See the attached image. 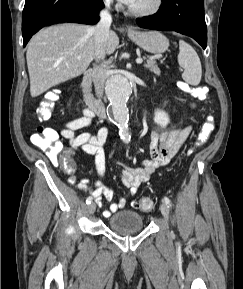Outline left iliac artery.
Returning a JSON list of instances; mask_svg holds the SVG:
<instances>
[{
	"label": "left iliac artery",
	"mask_w": 243,
	"mask_h": 289,
	"mask_svg": "<svg viewBox=\"0 0 243 289\" xmlns=\"http://www.w3.org/2000/svg\"><path fill=\"white\" fill-rule=\"evenodd\" d=\"M163 202H164L168 207H171V206H172L170 199H169L168 197H166V196L163 198Z\"/></svg>",
	"instance_id": "left-iliac-artery-1"
}]
</instances>
